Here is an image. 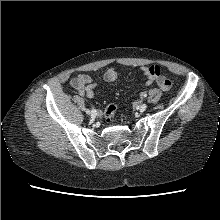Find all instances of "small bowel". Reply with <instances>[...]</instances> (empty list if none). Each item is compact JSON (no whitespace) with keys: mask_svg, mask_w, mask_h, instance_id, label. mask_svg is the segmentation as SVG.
I'll return each mask as SVG.
<instances>
[{"mask_svg":"<svg viewBox=\"0 0 220 220\" xmlns=\"http://www.w3.org/2000/svg\"><path fill=\"white\" fill-rule=\"evenodd\" d=\"M151 67L152 66H144L141 68V72L145 77L146 85H151L154 82H156V77L151 72ZM102 78L105 81L112 82L117 79V72L113 68H110L103 73ZM70 85L80 95H85L88 98H93L95 95L96 83L92 80V78L89 75L80 74L75 77H72L70 80Z\"/></svg>","mask_w":220,"mask_h":220,"instance_id":"c3829d8e","label":"small bowel"}]
</instances>
